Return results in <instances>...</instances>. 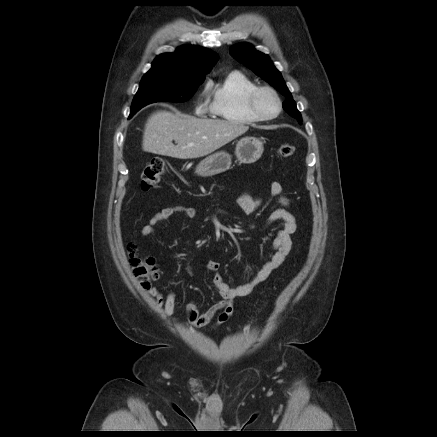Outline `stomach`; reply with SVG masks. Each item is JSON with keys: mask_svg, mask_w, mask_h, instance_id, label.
Returning <instances> with one entry per match:
<instances>
[{"mask_svg": "<svg viewBox=\"0 0 437 437\" xmlns=\"http://www.w3.org/2000/svg\"><path fill=\"white\" fill-rule=\"evenodd\" d=\"M263 142L255 137H245L236 144L235 155L241 163L256 162L263 154ZM231 166V156L224 151L216 152L202 160L195 169L201 177H209L227 171Z\"/></svg>", "mask_w": 437, "mask_h": 437, "instance_id": "stomach-1", "label": "stomach"}]
</instances>
